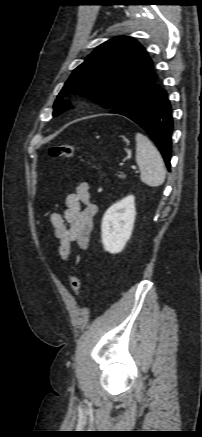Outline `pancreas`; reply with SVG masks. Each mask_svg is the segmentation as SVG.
Listing matches in <instances>:
<instances>
[{"mask_svg":"<svg viewBox=\"0 0 202 437\" xmlns=\"http://www.w3.org/2000/svg\"><path fill=\"white\" fill-rule=\"evenodd\" d=\"M120 178H125V175L121 174L119 175Z\"/></svg>","mask_w":202,"mask_h":437,"instance_id":"cf45deb5","label":"pancreas"}]
</instances>
